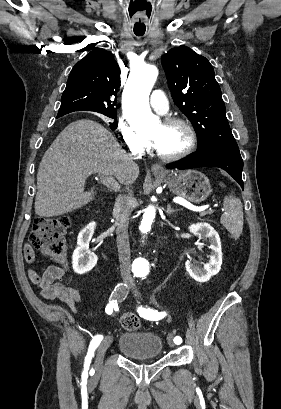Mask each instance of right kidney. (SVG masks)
Listing matches in <instances>:
<instances>
[{
	"mask_svg": "<svg viewBox=\"0 0 281 409\" xmlns=\"http://www.w3.org/2000/svg\"><path fill=\"white\" fill-rule=\"evenodd\" d=\"M96 223L92 221L80 231L77 237V247L72 257V267L78 275H85L95 267L98 257L89 249V243L94 235Z\"/></svg>",
	"mask_w": 281,
	"mask_h": 409,
	"instance_id": "obj_1",
	"label": "right kidney"
}]
</instances>
